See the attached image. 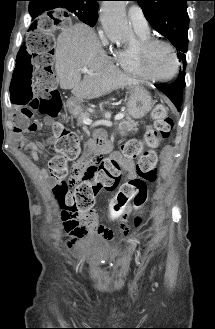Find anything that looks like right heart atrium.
<instances>
[{
    "label": "right heart atrium",
    "mask_w": 215,
    "mask_h": 329,
    "mask_svg": "<svg viewBox=\"0 0 215 329\" xmlns=\"http://www.w3.org/2000/svg\"><path fill=\"white\" fill-rule=\"evenodd\" d=\"M99 37L101 39V42L104 46H109L110 45V41L107 38V36L105 35L103 30H99ZM115 54V53H114Z\"/></svg>",
    "instance_id": "d8ad5b80"
}]
</instances>
